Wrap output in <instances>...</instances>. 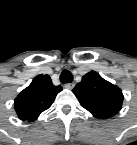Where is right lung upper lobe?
<instances>
[{
	"mask_svg": "<svg viewBox=\"0 0 137 145\" xmlns=\"http://www.w3.org/2000/svg\"><path fill=\"white\" fill-rule=\"evenodd\" d=\"M61 86H54L48 75L36 76L15 100V109L19 117L33 121L53 103Z\"/></svg>",
	"mask_w": 137,
	"mask_h": 145,
	"instance_id": "1",
	"label": "right lung upper lobe"
}]
</instances>
